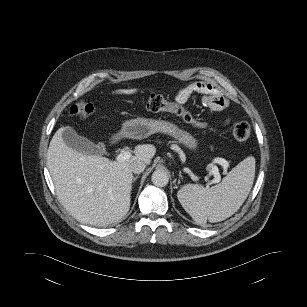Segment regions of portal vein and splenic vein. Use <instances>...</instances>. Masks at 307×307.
<instances>
[{
    "instance_id": "18ae733b",
    "label": "portal vein and splenic vein",
    "mask_w": 307,
    "mask_h": 307,
    "mask_svg": "<svg viewBox=\"0 0 307 307\" xmlns=\"http://www.w3.org/2000/svg\"><path fill=\"white\" fill-rule=\"evenodd\" d=\"M131 157L132 155L129 151H121L115 159L116 161H126L129 160ZM217 163L221 164L225 169L228 167V162L225 159L219 158L217 159ZM207 170L211 171L214 175V178L209 181L208 185L218 183L221 180V176L217 166H210L207 168Z\"/></svg>"
}]
</instances>
